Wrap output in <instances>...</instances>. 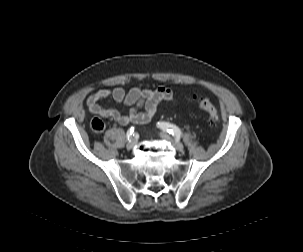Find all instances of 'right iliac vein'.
<instances>
[{
    "mask_svg": "<svg viewBox=\"0 0 303 252\" xmlns=\"http://www.w3.org/2000/svg\"><path fill=\"white\" fill-rule=\"evenodd\" d=\"M136 144V139H131L128 143H127V149H131L134 145Z\"/></svg>",
    "mask_w": 303,
    "mask_h": 252,
    "instance_id": "right-iliac-vein-1",
    "label": "right iliac vein"
}]
</instances>
